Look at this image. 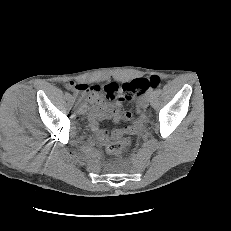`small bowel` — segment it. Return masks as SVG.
Masks as SVG:
<instances>
[{"label":"small bowel","instance_id":"obj_1","mask_svg":"<svg viewBox=\"0 0 231 231\" xmlns=\"http://www.w3.org/2000/svg\"><path fill=\"white\" fill-rule=\"evenodd\" d=\"M115 86H117V84H108L105 86L104 91H102L98 87H91L85 84H67V87L69 89H72L74 92L83 95L90 103L88 113L90 126L96 134L98 141L102 144L108 143L110 139L117 140L123 137L125 134L132 133L138 127L137 125L129 126L123 129H116L111 133L104 129H101L100 122H102L103 120L109 119L113 122H119L121 120H129L133 116L131 111L124 110V98H114L111 95V92L113 91L112 87Z\"/></svg>","mask_w":231,"mask_h":231}]
</instances>
